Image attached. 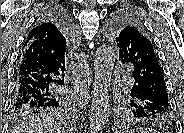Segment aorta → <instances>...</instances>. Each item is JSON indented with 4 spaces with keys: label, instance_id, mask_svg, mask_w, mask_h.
<instances>
[{
    "label": "aorta",
    "instance_id": "obj_1",
    "mask_svg": "<svg viewBox=\"0 0 184 133\" xmlns=\"http://www.w3.org/2000/svg\"><path fill=\"white\" fill-rule=\"evenodd\" d=\"M115 51L107 45L100 46L94 55L93 99L90 111V133H103L109 117L110 85Z\"/></svg>",
    "mask_w": 184,
    "mask_h": 133
}]
</instances>
